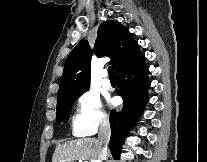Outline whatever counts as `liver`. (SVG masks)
Instances as JSON below:
<instances>
[{
	"label": "liver",
	"mask_w": 207,
	"mask_h": 162,
	"mask_svg": "<svg viewBox=\"0 0 207 162\" xmlns=\"http://www.w3.org/2000/svg\"><path fill=\"white\" fill-rule=\"evenodd\" d=\"M101 144L96 138H80L58 144L52 162H73L74 160H99Z\"/></svg>",
	"instance_id": "obj_1"
}]
</instances>
